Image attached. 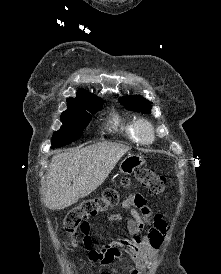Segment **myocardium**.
Returning a JSON list of instances; mask_svg holds the SVG:
<instances>
[{"instance_id":"f54148a6","label":"myocardium","mask_w":221,"mask_h":274,"mask_svg":"<svg viewBox=\"0 0 221 274\" xmlns=\"http://www.w3.org/2000/svg\"><path fill=\"white\" fill-rule=\"evenodd\" d=\"M137 132L140 140L143 143H151L155 138V132L153 125L145 119L138 120Z\"/></svg>"}]
</instances>
